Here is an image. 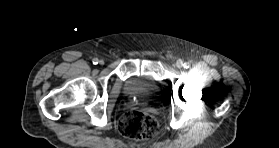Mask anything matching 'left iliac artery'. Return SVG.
<instances>
[{"instance_id":"left-iliac-artery-1","label":"left iliac artery","mask_w":279,"mask_h":148,"mask_svg":"<svg viewBox=\"0 0 279 148\" xmlns=\"http://www.w3.org/2000/svg\"><path fill=\"white\" fill-rule=\"evenodd\" d=\"M183 67L186 68V69L189 68V67H190V63H189V62H185V63L183 64Z\"/></svg>"}]
</instances>
